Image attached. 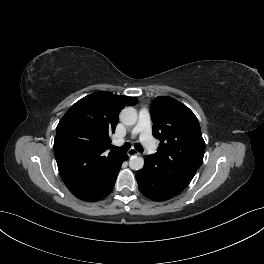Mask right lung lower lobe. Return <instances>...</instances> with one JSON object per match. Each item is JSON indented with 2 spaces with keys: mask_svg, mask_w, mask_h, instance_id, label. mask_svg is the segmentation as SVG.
I'll return each instance as SVG.
<instances>
[{
  "mask_svg": "<svg viewBox=\"0 0 264 264\" xmlns=\"http://www.w3.org/2000/svg\"><path fill=\"white\" fill-rule=\"evenodd\" d=\"M127 159H128V156H127V154L125 153L124 156L122 157L121 161L119 162L118 166H117V169H116L115 174H114V176H113V181H112V183H111V186H110L108 192L104 195V197H106L107 195H109V194L111 193V191H112V189H113V187H114V184H115V181H116V178H117L118 172H119V170H120V168H121V164H122L124 161H126ZM104 197H103V198H104Z\"/></svg>",
  "mask_w": 264,
  "mask_h": 264,
  "instance_id": "1",
  "label": "right lung lower lobe"
}]
</instances>
